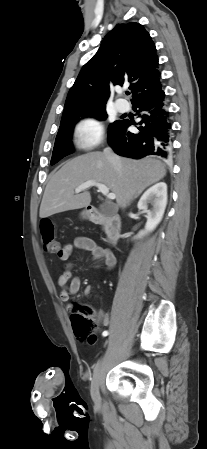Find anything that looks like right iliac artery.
<instances>
[{
  "label": "right iliac artery",
  "mask_w": 207,
  "mask_h": 449,
  "mask_svg": "<svg viewBox=\"0 0 207 449\" xmlns=\"http://www.w3.org/2000/svg\"><path fill=\"white\" fill-rule=\"evenodd\" d=\"M108 334H109L108 331H104V332L102 333L103 336H107Z\"/></svg>",
  "instance_id": "right-iliac-artery-1"
}]
</instances>
